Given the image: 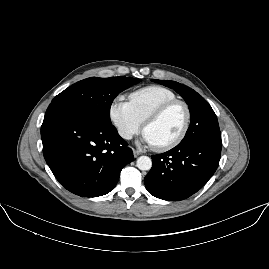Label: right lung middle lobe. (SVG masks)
I'll return each instance as SVG.
<instances>
[{"label":"right lung middle lobe","instance_id":"obj_1","mask_svg":"<svg viewBox=\"0 0 269 269\" xmlns=\"http://www.w3.org/2000/svg\"><path fill=\"white\" fill-rule=\"evenodd\" d=\"M140 81V79L129 77L87 78L62 91L50 105H59L83 112L111 124L110 107L114 98Z\"/></svg>","mask_w":269,"mask_h":269}]
</instances>
